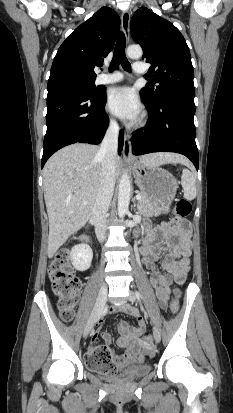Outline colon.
Masks as SVG:
<instances>
[{
	"mask_svg": "<svg viewBox=\"0 0 233 413\" xmlns=\"http://www.w3.org/2000/svg\"><path fill=\"white\" fill-rule=\"evenodd\" d=\"M192 204L189 200L181 198L177 201L175 207L176 215L183 219L190 215ZM49 278L52 283V290L57 297L60 317L65 322H70L74 317V309L79 298L80 282L74 276L73 269L69 261L67 252H61L53 258L49 265ZM179 304L176 297H173L170 303L172 313L178 311ZM143 345L149 349L152 345L151 337L143 338ZM87 364L100 372H116V362L114 354L110 349L101 348L95 354L86 357Z\"/></svg>",
	"mask_w": 233,
	"mask_h": 413,
	"instance_id": "colon-1",
	"label": "colon"
}]
</instances>
